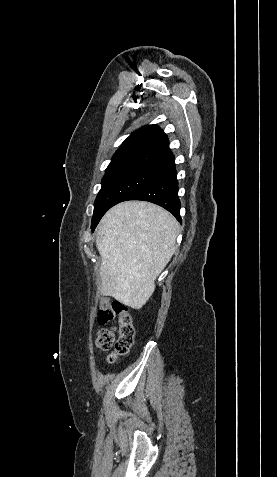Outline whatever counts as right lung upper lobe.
I'll list each match as a JSON object with an SVG mask.
<instances>
[{
    "label": "right lung upper lobe",
    "mask_w": 277,
    "mask_h": 477,
    "mask_svg": "<svg viewBox=\"0 0 277 477\" xmlns=\"http://www.w3.org/2000/svg\"><path fill=\"white\" fill-rule=\"evenodd\" d=\"M172 159L167 135L157 125H147L122 143L106 171L132 165L162 168Z\"/></svg>",
    "instance_id": "right-lung-upper-lobe-1"
}]
</instances>
